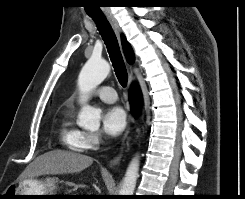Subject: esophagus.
Segmentation results:
<instances>
[{
  "label": "esophagus",
  "instance_id": "34e87169",
  "mask_svg": "<svg viewBox=\"0 0 245 199\" xmlns=\"http://www.w3.org/2000/svg\"><path fill=\"white\" fill-rule=\"evenodd\" d=\"M106 17H107L109 23L111 24L112 28L116 32V34L119 36L120 35V27H119L118 22L115 19V17L111 13L110 14L107 13ZM131 82H132V74H130V79H129V83H131ZM129 131H130V126H128V128L124 134L122 144H124L125 139L127 138L128 134H129ZM120 160H121V154L116 156L113 160L110 161V166L118 164L120 162Z\"/></svg>",
  "mask_w": 245,
  "mask_h": 199
}]
</instances>
